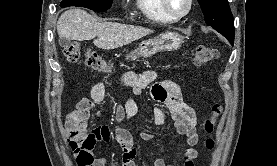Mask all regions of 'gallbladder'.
<instances>
[{
    "mask_svg": "<svg viewBox=\"0 0 277 166\" xmlns=\"http://www.w3.org/2000/svg\"><path fill=\"white\" fill-rule=\"evenodd\" d=\"M59 44L62 47H68V45L70 44V40H68L66 38H60L59 39Z\"/></svg>",
    "mask_w": 277,
    "mask_h": 166,
    "instance_id": "bac80fb5",
    "label": "gallbladder"
}]
</instances>
